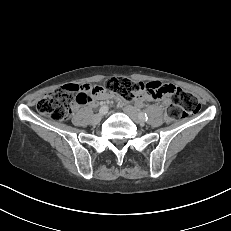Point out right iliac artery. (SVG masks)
<instances>
[{
	"instance_id": "82829eb1",
	"label": "right iliac artery",
	"mask_w": 231,
	"mask_h": 231,
	"mask_svg": "<svg viewBox=\"0 0 231 231\" xmlns=\"http://www.w3.org/2000/svg\"><path fill=\"white\" fill-rule=\"evenodd\" d=\"M107 111H108V107L106 105L102 106L99 110L100 113L107 112Z\"/></svg>"
}]
</instances>
